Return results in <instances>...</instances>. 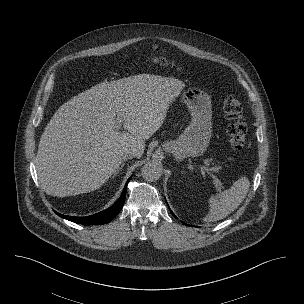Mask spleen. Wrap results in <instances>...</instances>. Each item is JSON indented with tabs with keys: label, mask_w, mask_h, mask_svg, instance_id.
I'll return each instance as SVG.
<instances>
[{
	"label": "spleen",
	"mask_w": 304,
	"mask_h": 304,
	"mask_svg": "<svg viewBox=\"0 0 304 304\" xmlns=\"http://www.w3.org/2000/svg\"><path fill=\"white\" fill-rule=\"evenodd\" d=\"M249 187V180L241 177L230 189L211 197L209 199L210 211L205 220L214 222L228 216L243 202Z\"/></svg>",
	"instance_id": "1"
}]
</instances>
